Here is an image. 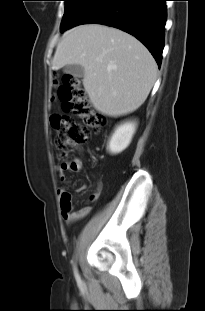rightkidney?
<instances>
[{"label":"right kidney","instance_id":"obj_1","mask_svg":"<svg viewBox=\"0 0 205 311\" xmlns=\"http://www.w3.org/2000/svg\"><path fill=\"white\" fill-rule=\"evenodd\" d=\"M135 122H125L119 125L112 134L107 149L111 154H118L125 150L131 143L136 131Z\"/></svg>","mask_w":205,"mask_h":311}]
</instances>
